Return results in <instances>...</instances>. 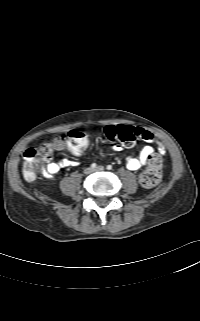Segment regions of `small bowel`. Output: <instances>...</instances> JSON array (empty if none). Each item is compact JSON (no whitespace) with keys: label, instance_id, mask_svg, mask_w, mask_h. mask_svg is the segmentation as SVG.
I'll list each match as a JSON object with an SVG mask.
<instances>
[{"label":"small bowel","instance_id":"c3829d8e","mask_svg":"<svg viewBox=\"0 0 200 321\" xmlns=\"http://www.w3.org/2000/svg\"><path fill=\"white\" fill-rule=\"evenodd\" d=\"M138 129L140 130V137L147 143V145L140 150L137 156H130L127 158L126 166L131 171H136L149 162L150 157L154 153L153 145L157 147V150L161 155L166 152L164 145L157 141L152 132L139 127ZM53 144L55 150H62L65 147V142L61 138L54 139ZM112 148L114 151L122 150V147L118 144L113 145ZM73 165L74 162L67 158H63L58 162L48 161L46 167L42 170V175L45 178H52L61 169L71 167Z\"/></svg>","mask_w":200,"mask_h":321}]
</instances>
